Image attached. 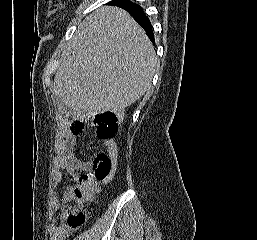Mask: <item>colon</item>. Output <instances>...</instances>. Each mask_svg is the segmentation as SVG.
Listing matches in <instances>:
<instances>
[{"label":"colon","mask_w":257,"mask_h":240,"mask_svg":"<svg viewBox=\"0 0 257 240\" xmlns=\"http://www.w3.org/2000/svg\"><path fill=\"white\" fill-rule=\"evenodd\" d=\"M93 123L97 128V137L101 141L112 139L119 126V118L112 112H98L93 117ZM68 129L76 134L84 130L81 121H72ZM114 171V158L108 153H98L91 163V169L81 175L77 184L62 199V218L68 227L75 230L86 222V215L80 206L92 198L101 184L107 182Z\"/></svg>","instance_id":"colon-1"}]
</instances>
